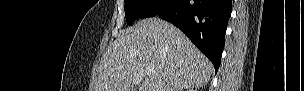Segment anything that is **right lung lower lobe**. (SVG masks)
<instances>
[{"mask_svg": "<svg viewBox=\"0 0 304 91\" xmlns=\"http://www.w3.org/2000/svg\"><path fill=\"white\" fill-rule=\"evenodd\" d=\"M231 0H170L157 16L174 24L211 60L217 72Z\"/></svg>", "mask_w": 304, "mask_h": 91, "instance_id": "1", "label": "right lung lower lobe"}]
</instances>
